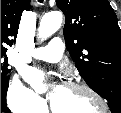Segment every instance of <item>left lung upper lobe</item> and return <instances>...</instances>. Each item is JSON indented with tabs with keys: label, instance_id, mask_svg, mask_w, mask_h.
I'll return each instance as SVG.
<instances>
[{
	"label": "left lung upper lobe",
	"instance_id": "1",
	"mask_svg": "<svg viewBox=\"0 0 121 113\" xmlns=\"http://www.w3.org/2000/svg\"><path fill=\"white\" fill-rule=\"evenodd\" d=\"M64 38L86 83L121 113V30L108 0H56Z\"/></svg>",
	"mask_w": 121,
	"mask_h": 113
}]
</instances>
